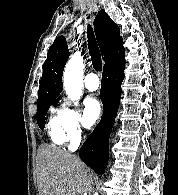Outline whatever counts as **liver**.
Masks as SVG:
<instances>
[{
	"label": "liver",
	"mask_w": 178,
	"mask_h": 195,
	"mask_svg": "<svg viewBox=\"0 0 178 195\" xmlns=\"http://www.w3.org/2000/svg\"><path fill=\"white\" fill-rule=\"evenodd\" d=\"M37 159L39 195H81L92 189V174L77 156L43 144Z\"/></svg>",
	"instance_id": "obj_1"
}]
</instances>
